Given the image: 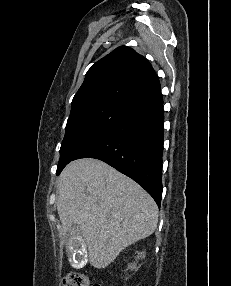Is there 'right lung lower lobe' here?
Wrapping results in <instances>:
<instances>
[{
	"label": "right lung lower lobe",
	"instance_id": "98d812e1",
	"mask_svg": "<svg viewBox=\"0 0 231 286\" xmlns=\"http://www.w3.org/2000/svg\"><path fill=\"white\" fill-rule=\"evenodd\" d=\"M131 109L130 116L92 141L73 160L106 162L135 180L160 207L164 120L160 85Z\"/></svg>",
	"mask_w": 231,
	"mask_h": 286
}]
</instances>
